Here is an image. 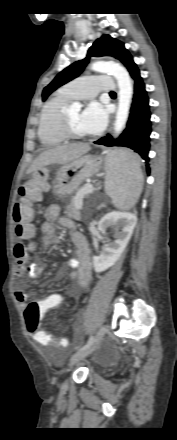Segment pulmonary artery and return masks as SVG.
Wrapping results in <instances>:
<instances>
[{"label":"pulmonary artery","mask_w":177,"mask_h":440,"mask_svg":"<svg viewBox=\"0 0 177 440\" xmlns=\"http://www.w3.org/2000/svg\"><path fill=\"white\" fill-rule=\"evenodd\" d=\"M74 99H90L99 92H110L115 89L113 78L108 75H89L77 78L62 87Z\"/></svg>","instance_id":"1"}]
</instances>
